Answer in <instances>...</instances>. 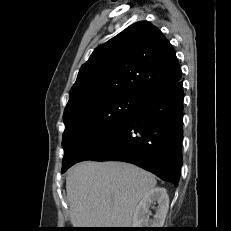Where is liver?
Masks as SVG:
<instances>
[{"label": "liver", "mask_w": 231, "mask_h": 231, "mask_svg": "<svg viewBox=\"0 0 231 231\" xmlns=\"http://www.w3.org/2000/svg\"><path fill=\"white\" fill-rule=\"evenodd\" d=\"M156 183L152 174L128 163L76 164L66 178L71 224L75 228H130L139 201Z\"/></svg>", "instance_id": "obj_1"}]
</instances>
